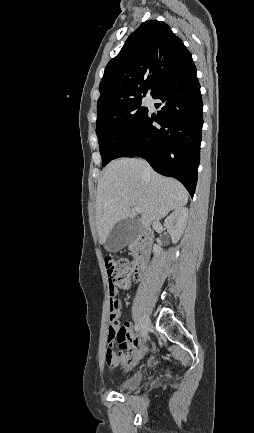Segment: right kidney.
I'll return each instance as SVG.
<instances>
[{
  "mask_svg": "<svg viewBox=\"0 0 254 433\" xmlns=\"http://www.w3.org/2000/svg\"><path fill=\"white\" fill-rule=\"evenodd\" d=\"M187 219V208H178L165 219L164 226L171 235L173 243H177L180 240L186 227ZM153 252L157 256L160 255L162 253V248L160 245L155 244L153 247Z\"/></svg>",
  "mask_w": 254,
  "mask_h": 433,
  "instance_id": "obj_1",
  "label": "right kidney"
}]
</instances>
